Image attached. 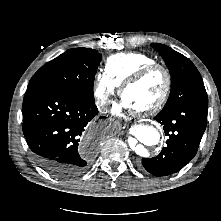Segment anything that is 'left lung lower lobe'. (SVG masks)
Instances as JSON below:
<instances>
[{
  "label": "left lung lower lobe",
  "instance_id": "left-lung-lower-lobe-1",
  "mask_svg": "<svg viewBox=\"0 0 221 221\" xmlns=\"http://www.w3.org/2000/svg\"><path fill=\"white\" fill-rule=\"evenodd\" d=\"M208 102L190 101L162 110L154 117L168 135L167 146L142 165L151 174L166 176L181 170L196 154L207 125Z\"/></svg>",
  "mask_w": 221,
  "mask_h": 221
}]
</instances>
